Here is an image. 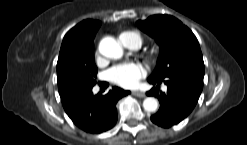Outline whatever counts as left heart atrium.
<instances>
[{"label": "left heart atrium", "mask_w": 247, "mask_h": 145, "mask_svg": "<svg viewBox=\"0 0 247 145\" xmlns=\"http://www.w3.org/2000/svg\"><path fill=\"white\" fill-rule=\"evenodd\" d=\"M144 76V69L135 63L117 65L107 72L112 83L124 88L134 87Z\"/></svg>", "instance_id": "39dd6f15"}]
</instances>
